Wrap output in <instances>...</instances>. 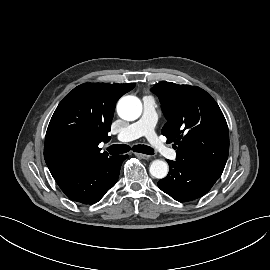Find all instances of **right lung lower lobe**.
<instances>
[{
  "label": "right lung lower lobe",
  "mask_w": 270,
  "mask_h": 270,
  "mask_svg": "<svg viewBox=\"0 0 270 270\" xmlns=\"http://www.w3.org/2000/svg\"><path fill=\"white\" fill-rule=\"evenodd\" d=\"M127 155L102 159L82 170L56 178V183L70 199L83 204H93L112 188Z\"/></svg>",
  "instance_id": "98d812e1"
}]
</instances>
